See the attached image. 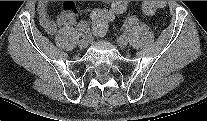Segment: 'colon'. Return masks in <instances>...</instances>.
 Masks as SVG:
<instances>
[{"instance_id":"5ec220e1","label":"colon","mask_w":207,"mask_h":121,"mask_svg":"<svg viewBox=\"0 0 207 121\" xmlns=\"http://www.w3.org/2000/svg\"><path fill=\"white\" fill-rule=\"evenodd\" d=\"M163 1H144L141 4V11L146 15L154 14L158 9L164 7ZM127 9L125 1H112L110 8L95 9L91 13V24L95 34L102 35L106 32L114 15H120Z\"/></svg>"}]
</instances>
